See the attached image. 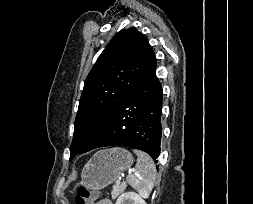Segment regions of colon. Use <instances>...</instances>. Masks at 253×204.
I'll use <instances>...</instances> for the list:
<instances>
[{
	"label": "colon",
	"instance_id": "5ec220e1",
	"mask_svg": "<svg viewBox=\"0 0 253 204\" xmlns=\"http://www.w3.org/2000/svg\"><path fill=\"white\" fill-rule=\"evenodd\" d=\"M97 193L86 186H80L75 197V204H94Z\"/></svg>",
	"mask_w": 253,
	"mask_h": 204
}]
</instances>
